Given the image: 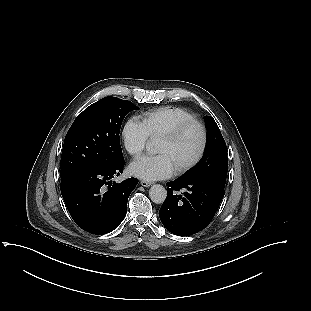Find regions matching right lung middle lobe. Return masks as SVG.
Returning a JSON list of instances; mask_svg holds the SVG:
<instances>
[{
    "label": "right lung middle lobe",
    "mask_w": 311,
    "mask_h": 311,
    "mask_svg": "<svg viewBox=\"0 0 311 311\" xmlns=\"http://www.w3.org/2000/svg\"><path fill=\"white\" fill-rule=\"evenodd\" d=\"M137 109L130 101L105 97L79 114L63 144L61 178L82 167L123 161L120 127L124 117Z\"/></svg>",
    "instance_id": "1"
}]
</instances>
